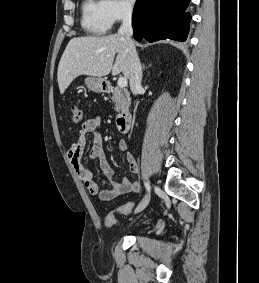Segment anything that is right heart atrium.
<instances>
[{
  "mask_svg": "<svg viewBox=\"0 0 259 283\" xmlns=\"http://www.w3.org/2000/svg\"><path fill=\"white\" fill-rule=\"evenodd\" d=\"M106 15L112 24L129 18L134 12L131 0H103Z\"/></svg>",
  "mask_w": 259,
  "mask_h": 283,
  "instance_id": "1",
  "label": "right heart atrium"
}]
</instances>
